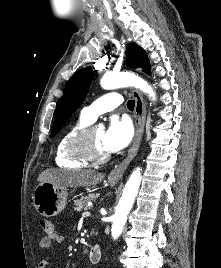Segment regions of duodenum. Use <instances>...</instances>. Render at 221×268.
<instances>
[{
    "mask_svg": "<svg viewBox=\"0 0 221 268\" xmlns=\"http://www.w3.org/2000/svg\"><path fill=\"white\" fill-rule=\"evenodd\" d=\"M102 258V248L99 244L93 245L88 253V259L91 263L96 264Z\"/></svg>",
    "mask_w": 221,
    "mask_h": 268,
    "instance_id": "1",
    "label": "duodenum"
}]
</instances>
